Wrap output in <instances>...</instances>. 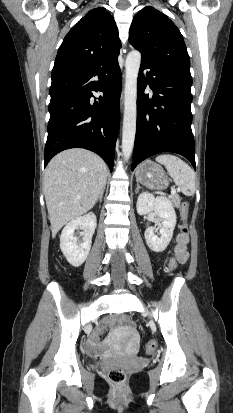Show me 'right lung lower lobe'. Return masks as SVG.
Instances as JSON below:
<instances>
[{"instance_id":"1","label":"right lung lower lobe","mask_w":233,"mask_h":413,"mask_svg":"<svg viewBox=\"0 0 233 413\" xmlns=\"http://www.w3.org/2000/svg\"><path fill=\"white\" fill-rule=\"evenodd\" d=\"M92 91L103 93L91 100ZM45 166L57 153L85 148L113 169L119 129L121 72L118 56L82 69L52 76Z\"/></svg>"}]
</instances>
